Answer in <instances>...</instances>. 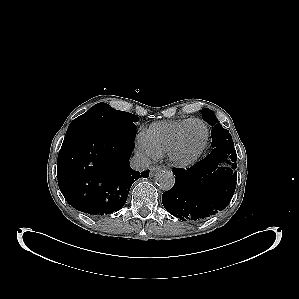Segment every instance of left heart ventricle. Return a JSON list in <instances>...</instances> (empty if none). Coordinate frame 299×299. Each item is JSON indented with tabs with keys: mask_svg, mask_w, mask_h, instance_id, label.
Returning <instances> with one entry per match:
<instances>
[{
	"mask_svg": "<svg viewBox=\"0 0 299 299\" xmlns=\"http://www.w3.org/2000/svg\"><path fill=\"white\" fill-rule=\"evenodd\" d=\"M205 137V128L199 122L190 124L182 138L178 150V156L188 157L193 154L203 143Z\"/></svg>",
	"mask_w": 299,
	"mask_h": 299,
	"instance_id": "1",
	"label": "left heart ventricle"
}]
</instances>
